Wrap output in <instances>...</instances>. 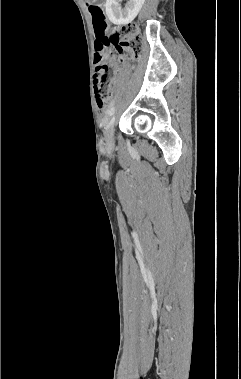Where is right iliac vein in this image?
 <instances>
[{
	"label": "right iliac vein",
	"instance_id": "1",
	"mask_svg": "<svg viewBox=\"0 0 241 379\" xmlns=\"http://www.w3.org/2000/svg\"><path fill=\"white\" fill-rule=\"evenodd\" d=\"M114 121H115V115H113L112 118L110 119V122L107 125L106 132H105V138L108 144H112L114 140Z\"/></svg>",
	"mask_w": 241,
	"mask_h": 379
}]
</instances>
